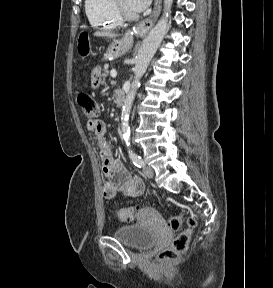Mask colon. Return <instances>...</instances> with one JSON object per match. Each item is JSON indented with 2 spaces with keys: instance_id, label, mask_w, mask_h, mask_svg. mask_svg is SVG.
<instances>
[{
  "instance_id": "colon-1",
  "label": "colon",
  "mask_w": 273,
  "mask_h": 288,
  "mask_svg": "<svg viewBox=\"0 0 273 288\" xmlns=\"http://www.w3.org/2000/svg\"><path fill=\"white\" fill-rule=\"evenodd\" d=\"M79 50L83 55L88 52V40L85 35L80 37ZM78 105L83 114L91 119H95L99 115V106L94 98L84 92L78 94ZM118 217L123 222H133L135 219V209L132 207L120 208L117 212ZM183 221L182 215L173 216L168 221L171 230L177 231L181 228ZM196 226V219L193 215L187 217V228L180 232L173 240L169 248L164 249L158 255V260L163 263H170L178 256L182 255L188 247V243L193 228Z\"/></svg>"
}]
</instances>
